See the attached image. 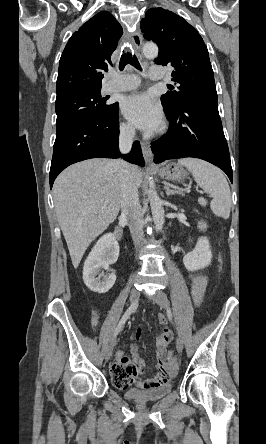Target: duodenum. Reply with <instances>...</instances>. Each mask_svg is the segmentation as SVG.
Instances as JSON below:
<instances>
[{"label": "duodenum", "instance_id": "obj_1", "mask_svg": "<svg viewBox=\"0 0 266 444\" xmlns=\"http://www.w3.org/2000/svg\"><path fill=\"white\" fill-rule=\"evenodd\" d=\"M121 231L120 230H117V232H116V235H117V237H120L121 236Z\"/></svg>", "mask_w": 266, "mask_h": 444}]
</instances>
